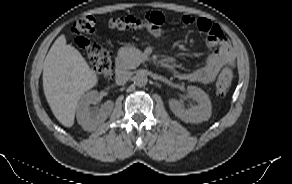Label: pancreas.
I'll list each match as a JSON object with an SVG mask.
<instances>
[{
  "instance_id": "1",
  "label": "pancreas",
  "mask_w": 292,
  "mask_h": 184,
  "mask_svg": "<svg viewBox=\"0 0 292 184\" xmlns=\"http://www.w3.org/2000/svg\"><path fill=\"white\" fill-rule=\"evenodd\" d=\"M124 69L136 68L144 59V54L133 47H122L118 51Z\"/></svg>"
}]
</instances>
